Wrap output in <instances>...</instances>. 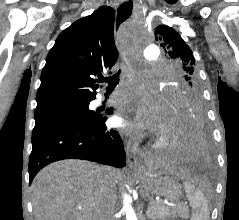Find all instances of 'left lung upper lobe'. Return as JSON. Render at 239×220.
Returning a JSON list of instances; mask_svg holds the SVG:
<instances>
[{
  "mask_svg": "<svg viewBox=\"0 0 239 220\" xmlns=\"http://www.w3.org/2000/svg\"><path fill=\"white\" fill-rule=\"evenodd\" d=\"M155 36L174 68L175 79L169 86L167 103L171 117L195 106L204 108L201 83L190 47L167 25L158 26Z\"/></svg>",
  "mask_w": 239,
  "mask_h": 220,
  "instance_id": "obj_1",
  "label": "left lung upper lobe"
}]
</instances>
